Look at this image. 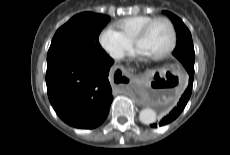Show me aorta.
Segmentation results:
<instances>
[{
    "mask_svg": "<svg viewBox=\"0 0 230 155\" xmlns=\"http://www.w3.org/2000/svg\"><path fill=\"white\" fill-rule=\"evenodd\" d=\"M139 119L142 123L149 125L156 122L157 114L152 108H145L140 111Z\"/></svg>",
    "mask_w": 230,
    "mask_h": 155,
    "instance_id": "1",
    "label": "aorta"
}]
</instances>
